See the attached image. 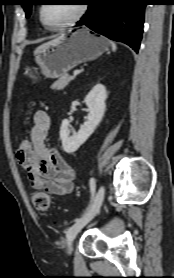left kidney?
<instances>
[{"instance_id": "obj_1", "label": "left kidney", "mask_w": 174, "mask_h": 278, "mask_svg": "<svg viewBox=\"0 0 174 278\" xmlns=\"http://www.w3.org/2000/svg\"><path fill=\"white\" fill-rule=\"evenodd\" d=\"M107 92L104 85L98 83L85 97V103L89 109L86 122L80 126L77 133L70 136V122L67 119L62 121L60 127V139L66 153L75 152L91 136L96 127L100 124L106 109Z\"/></svg>"}]
</instances>
